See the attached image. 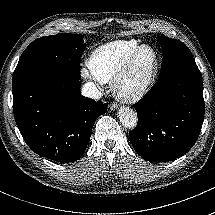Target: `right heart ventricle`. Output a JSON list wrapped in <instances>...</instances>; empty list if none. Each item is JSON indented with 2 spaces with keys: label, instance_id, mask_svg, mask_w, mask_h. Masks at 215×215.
Returning a JSON list of instances; mask_svg holds the SVG:
<instances>
[{
  "label": "right heart ventricle",
  "instance_id": "right-heart-ventricle-1",
  "mask_svg": "<svg viewBox=\"0 0 215 215\" xmlns=\"http://www.w3.org/2000/svg\"><path fill=\"white\" fill-rule=\"evenodd\" d=\"M138 45L136 40H118L99 46L85 61L88 75L100 82L112 80L127 56Z\"/></svg>",
  "mask_w": 215,
  "mask_h": 215
}]
</instances>
